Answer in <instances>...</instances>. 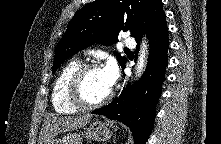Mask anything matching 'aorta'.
Returning a JSON list of instances; mask_svg holds the SVG:
<instances>
[{"label":"aorta","mask_w":221,"mask_h":144,"mask_svg":"<svg viewBox=\"0 0 221 144\" xmlns=\"http://www.w3.org/2000/svg\"><path fill=\"white\" fill-rule=\"evenodd\" d=\"M146 54H147V45L145 42L142 43V47L140 50L139 58H138V64L136 68V75H140L144 65H145V60H146Z\"/></svg>","instance_id":"762f6f07"}]
</instances>
